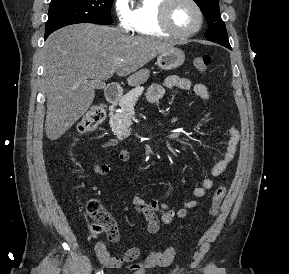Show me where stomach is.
I'll list each match as a JSON object with an SVG mask.
<instances>
[{
  "mask_svg": "<svg viewBox=\"0 0 289 274\" xmlns=\"http://www.w3.org/2000/svg\"><path fill=\"white\" fill-rule=\"evenodd\" d=\"M185 61V54L178 48H172L162 53L157 58V65L162 70L175 69L181 66Z\"/></svg>",
  "mask_w": 289,
  "mask_h": 274,
  "instance_id": "obj_1",
  "label": "stomach"
}]
</instances>
